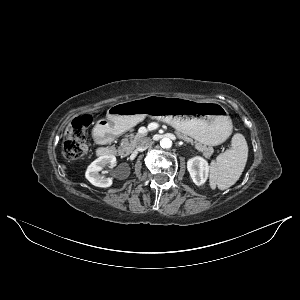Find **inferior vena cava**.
I'll use <instances>...</instances> for the list:
<instances>
[{"instance_id": "obj_1", "label": "inferior vena cava", "mask_w": 300, "mask_h": 300, "mask_svg": "<svg viewBox=\"0 0 300 300\" xmlns=\"http://www.w3.org/2000/svg\"><path fill=\"white\" fill-rule=\"evenodd\" d=\"M153 144L152 139L148 137H144L140 140L139 144L137 145V151H145L148 147H150Z\"/></svg>"}]
</instances>
